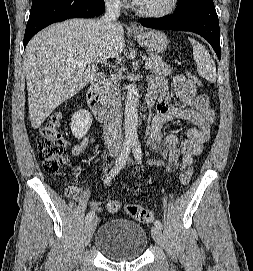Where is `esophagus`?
Masks as SVG:
<instances>
[{"label": "esophagus", "instance_id": "1", "mask_svg": "<svg viewBox=\"0 0 253 271\" xmlns=\"http://www.w3.org/2000/svg\"><path fill=\"white\" fill-rule=\"evenodd\" d=\"M130 29L133 31V32H137L139 30L138 26L136 23L132 22L130 24Z\"/></svg>", "mask_w": 253, "mask_h": 271}]
</instances>
